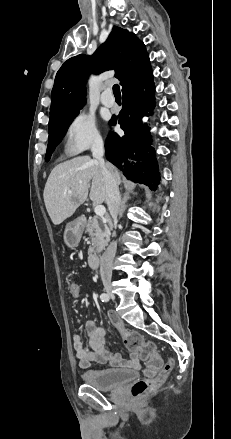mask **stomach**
I'll return each mask as SVG.
<instances>
[{
    "label": "stomach",
    "mask_w": 231,
    "mask_h": 439,
    "mask_svg": "<svg viewBox=\"0 0 231 439\" xmlns=\"http://www.w3.org/2000/svg\"><path fill=\"white\" fill-rule=\"evenodd\" d=\"M83 233V227L79 220L72 221L66 225L64 241L66 245L73 248L78 245Z\"/></svg>",
    "instance_id": "1"
}]
</instances>
